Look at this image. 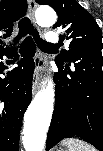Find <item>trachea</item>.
<instances>
[{
    "mask_svg": "<svg viewBox=\"0 0 103 151\" xmlns=\"http://www.w3.org/2000/svg\"><path fill=\"white\" fill-rule=\"evenodd\" d=\"M19 29H20V31H19V35H18L17 39L21 38L22 36H24L26 34H30L33 36L38 47L41 50L45 51V50L55 47L54 44L48 43L45 40H43L42 38H40L38 31L36 29H34L30 20L27 17L20 20ZM16 42H18V40H16Z\"/></svg>",
    "mask_w": 103,
    "mask_h": 151,
    "instance_id": "obj_1",
    "label": "trachea"
}]
</instances>
